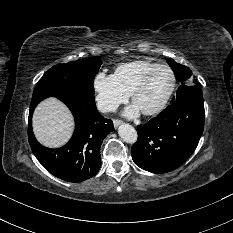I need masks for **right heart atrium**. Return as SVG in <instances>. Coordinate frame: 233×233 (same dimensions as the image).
Segmentation results:
<instances>
[{
    "instance_id": "1",
    "label": "right heart atrium",
    "mask_w": 233,
    "mask_h": 233,
    "mask_svg": "<svg viewBox=\"0 0 233 233\" xmlns=\"http://www.w3.org/2000/svg\"><path fill=\"white\" fill-rule=\"evenodd\" d=\"M92 87L96 104L103 112L115 111L129 98V94L119 85L114 75L102 71L94 76Z\"/></svg>"
}]
</instances>
